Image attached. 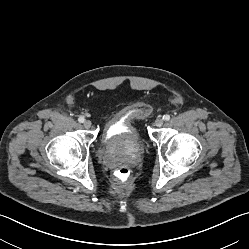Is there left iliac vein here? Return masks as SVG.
I'll list each match as a JSON object with an SVG mask.
<instances>
[{"instance_id":"4c4485c4","label":"left iliac vein","mask_w":249,"mask_h":249,"mask_svg":"<svg viewBox=\"0 0 249 249\" xmlns=\"http://www.w3.org/2000/svg\"><path fill=\"white\" fill-rule=\"evenodd\" d=\"M155 126L161 127L163 125V119L157 118L154 122Z\"/></svg>"}]
</instances>
